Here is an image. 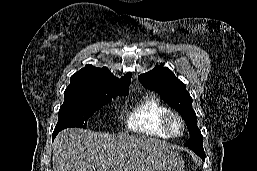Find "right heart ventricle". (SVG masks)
Returning <instances> with one entry per match:
<instances>
[{
  "mask_svg": "<svg viewBox=\"0 0 257 171\" xmlns=\"http://www.w3.org/2000/svg\"><path fill=\"white\" fill-rule=\"evenodd\" d=\"M170 110L154 95H145L129 110L126 126L129 130L159 138H169L163 126Z\"/></svg>",
  "mask_w": 257,
  "mask_h": 171,
  "instance_id": "1",
  "label": "right heart ventricle"
}]
</instances>
